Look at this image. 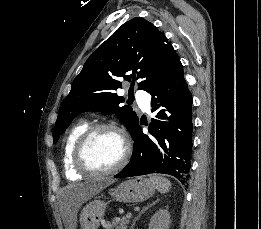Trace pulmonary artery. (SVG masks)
Wrapping results in <instances>:
<instances>
[{
    "label": "pulmonary artery",
    "instance_id": "1",
    "mask_svg": "<svg viewBox=\"0 0 261 229\" xmlns=\"http://www.w3.org/2000/svg\"><path fill=\"white\" fill-rule=\"evenodd\" d=\"M150 91H145L144 89H139L136 91V98L139 99L137 101L138 109L142 112L143 115H148L150 108Z\"/></svg>",
    "mask_w": 261,
    "mask_h": 229
}]
</instances>
